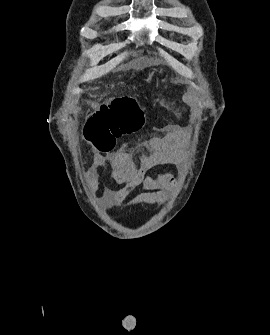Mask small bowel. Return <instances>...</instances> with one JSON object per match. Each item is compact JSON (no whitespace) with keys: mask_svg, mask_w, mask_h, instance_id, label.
Instances as JSON below:
<instances>
[{"mask_svg":"<svg viewBox=\"0 0 270 335\" xmlns=\"http://www.w3.org/2000/svg\"><path fill=\"white\" fill-rule=\"evenodd\" d=\"M183 136L179 125L168 124L159 134L143 142L145 151L139 154L138 159L129 152L128 143L109 155L94 154L88 173L90 184L96 186L100 172L107 171L116 183L122 185L119 189L104 190V203L110 208L122 203L138 187H142L144 192L134 199V205L164 202V193L174 187L176 179L168 171L153 174L150 171L158 166L182 162L180 146Z\"/></svg>","mask_w":270,"mask_h":335,"instance_id":"obj_1","label":"small bowel"}]
</instances>
